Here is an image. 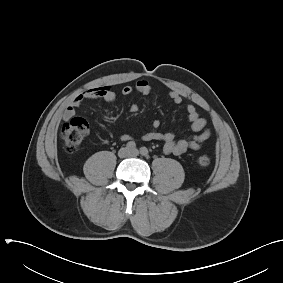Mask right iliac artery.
<instances>
[{
  "label": "right iliac artery",
  "instance_id": "82829eb1",
  "mask_svg": "<svg viewBox=\"0 0 283 283\" xmlns=\"http://www.w3.org/2000/svg\"><path fill=\"white\" fill-rule=\"evenodd\" d=\"M126 147L129 149V150H134L136 148V144L135 142L133 141H130L126 144Z\"/></svg>",
  "mask_w": 283,
  "mask_h": 283
}]
</instances>
